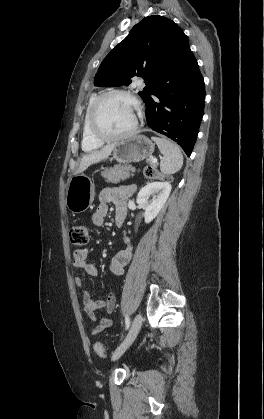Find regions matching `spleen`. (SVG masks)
Returning <instances> with one entry per match:
<instances>
[{
	"label": "spleen",
	"instance_id": "3e777b00",
	"mask_svg": "<svg viewBox=\"0 0 264 419\" xmlns=\"http://www.w3.org/2000/svg\"><path fill=\"white\" fill-rule=\"evenodd\" d=\"M163 157L160 162V170L164 175H170L178 172L183 165V155L177 144L166 138H152Z\"/></svg>",
	"mask_w": 264,
	"mask_h": 419
}]
</instances>
